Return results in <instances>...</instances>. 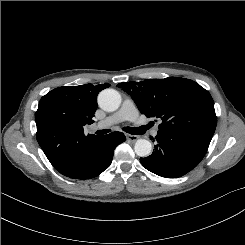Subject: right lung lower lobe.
Returning a JSON list of instances; mask_svg holds the SVG:
<instances>
[{
    "label": "right lung lower lobe",
    "mask_w": 245,
    "mask_h": 245,
    "mask_svg": "<svg viewBox=\"0 0 245 245\" xmlns=\"http://www.w3.org/2000/svg\"><path fill=\"white\" fill-rule=\"evenodd\" d=\"M124 141L125 135L121 132L101 136L86 152L81 162L68 170L59 172L72 179L94 178L110 166L114 149Z\"/></svg>",
    "instance_id": "obj_1"
}]
</instances>
